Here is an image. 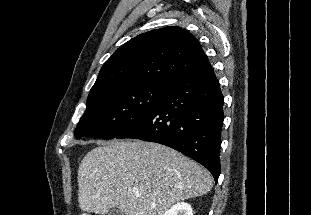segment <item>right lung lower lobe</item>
I'll list each match as a JSON object with an SVG mask.
<instances>
[{"label":"right lung lower lobe","instance_id":"obj_1","mask_svg":"<svg viewBox=\"0 0 311 215\" xmlns=\"http://www.w3.org/2000/svg\"><path fill=\"white\" fill-rule=\"evenodd\" d=\"M223 95L210 64L167 83L160 102L135 125L115 138L157 142L205 166L217 183Z\"/></svg>","mask_w":311,"mask_h":215}]
</instances>
